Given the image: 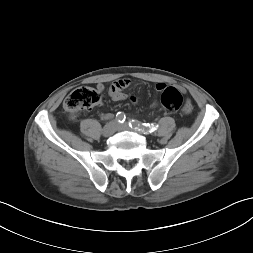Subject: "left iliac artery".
I'll return each instance as SVG.
<instances>
[{
	"instance_id": "obj_1",
	"label": "left iliac artery",
	"mask_w": 253,
	"mask_h": 253,
	"mask_svg": "<svg viewBox=\"0 0 253 253\" xmlns=\"http://www.w3.org/2000/svg\"><path fill=\"white\" fill-rule=\"evenodd\" d=\"M129 126L131 128L140 129L145 134L152 133V132L156 131L157 128H158V125H156V124H153V123H151V124H149V123H141L140 121L135 120V119H131L129 121Z\"/></svg>"
}]
</instances>
